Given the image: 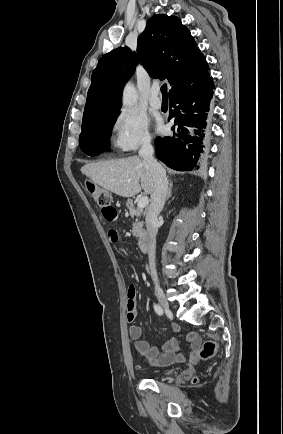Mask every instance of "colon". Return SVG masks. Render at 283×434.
<instances>
[{
  "label": "colon",
  "instance_id": "5ec220e1",
  "mask_svg": "<svg viewBox=\"0 0 283 434\" xmlns=\"http://www.w3.org/2000/svg\"><path fill=\"white\" fill-rule=\"evenodd\" d=\"M87 187L92 198L100 207H107L111 205L112 197L107 190L91 183H89ZM217 351V343L213 340H207L200 346L198 350V357L202 360L210 359L216 355Z\"/></svg>",
  "mask_w": 283,
  "mask_h": 434
}]
</instances>
